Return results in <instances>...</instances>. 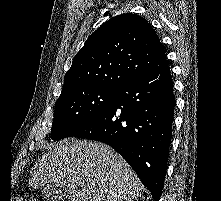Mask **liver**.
<instances>
[{"label":"liver","mask_w":221,"mask_h":201,"mask_svg":"<svg viewBox=\"0 0 221 201\" xmlns=\"http://www.w3.org/2000/svg\"><path fill=\"white\" fill-rule=\"evenodd\" d=\"M49 148L31 171L32 188L64 186L69 201H135L141 196L139 177L108 145L71 138Z\"/></svg>","instance_id":"obj_1"}]
</instances>
